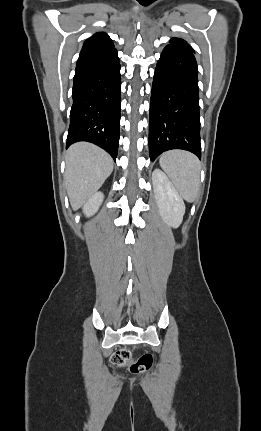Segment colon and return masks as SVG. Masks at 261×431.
Returning a JSON list of instances; mask_svg holds the SVG:
<instances>
[{
    "instance_id": "obj_1",
    "label": "colon",
    "mask_w": 261,
    "mask_h": 431,
    "mask_svg": "<svg viewBox=\"0 0 261 431\" xmlns=\"http://www.w3.org/2000/svg\"><path fill=\"white\" fill-rule=\"evenodd\" d=\"M111 363L116 367L129 366L132 373H143L147 371L153 362L151 354H143L133 360L131 352L128 349H120L111 356Z\"/></svg>"
}]
</instances>
